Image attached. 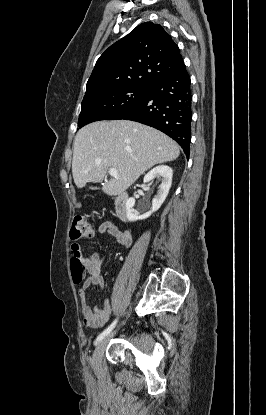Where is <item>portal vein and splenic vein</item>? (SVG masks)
Here are the masks:
<instances>
[{
	"label": "portal vein and splenic vein",
	"mask_w": 266,
	"mask_h": 415,
	"mask_svg": "<svg viewBox=\"0 0 266 415\" xmlns=\"http://www.w3.org/2000/svg\"><path fill=\"white\" fill-rule=\"evenodd\" d=\"M108 172H109L110 176H112L114 178H117V179L119 178L117 170L115 168H110Z\"/></svg>",
	"instance_id": "portal-vein-and-splenic-vein-1"
}]
</instances>
